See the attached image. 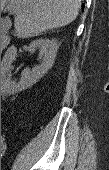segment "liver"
<instances>
[{
    "instance_id": "6515ba94",
    "label": "liver",
    "mask_w": 109,
    "mask_h": 170,
    "mask_svg": "<svg viewBox=\"0 0 109 170\" xmlns=\"http://www.w3.org/2000/svg\"><path fill=\"white\" fill-rule=\"evenodd\" d=\"M18 5L16 26L33 31L69 22L76 15L75 0H15Z\"/></svg>"
}]
</instances>
